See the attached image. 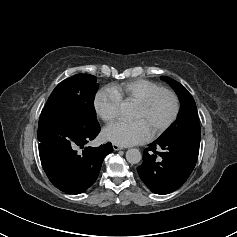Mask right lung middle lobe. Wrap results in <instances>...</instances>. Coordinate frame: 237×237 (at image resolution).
<instances>
[{
    "instance_id": "1",
    "label": "right lung middle lobe",
    "mask_w": 237,
    "mask_h": 237,
    "mask_svg": "<svg viewBox=\"0 0 237 237\" xmlns=\"http://www.w3.org/2000/svg\"><path fill=\"white\" fill-rule=\"evenodd\" d=\"M96 80L93 75L77 74L59 83L48 98L40 118L59 120L77 130L98 127L94 109L99 86Z\"/></svg>"
}]
</instances>
